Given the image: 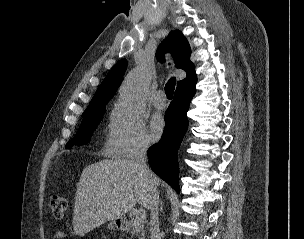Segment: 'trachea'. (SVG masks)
Wrapping results in <instances>:
<instances>
[{
    "mask_svg": "<svg viewBox=\"0 0 304 239\" xmlns=\"http://www.w3.org/2000/svg\"><path fill=\"white\" fill-rule=\"evenodd\" d=\"M176 85V78L172 77L165 85V94L168 99L173 98V93Z\"/></svg>",
    "mask_w": 304,
    "mask_h": 239,
    "instance_id": "3493384b",
    "label": "trachea"
}]
</instances>
